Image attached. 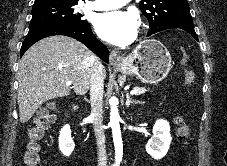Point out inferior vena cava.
<instances>
[{"label": "inferior vena cava", "mask_w": 227, "mask_h": 166, "mask_svg": "<svg viewBox=\"0 0 227 166\" xmlns=\"http://www.w3.org/2000/svg\"><path fill=\"white\" fill-rule=\"evenodd\" d=\"M104 78L105 69L102 63L97 60L94 63L93 72L90 79V101L94 132L98 147V166H107L105 134L102 126Z\"/></svg>", "instance_id": "602c4592"}]
</instances>
